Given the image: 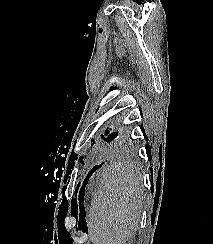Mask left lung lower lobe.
I'll list each match as a JSON object with an SVG mask.
<instances>
[{
    "label": "left lung lower lobe",
    "mask_w": 213,
    "mask_h": 244,
    "mask_svg": "<svg viewBox=\"0 0 213 244\" xmlns=\"http://www.w3.org/2000/svg\"><path fill=\"white\" fill-rule=\"evenodd\" d=\"M102 165H103V163L100 164V165H96V166H94V167L90 170V172H89L88 175L86 176L85 180L83 181L82 190H83V189L85 188V186L87 185L88 180H89L90 176L92 175V173H94V172H95L98 168H100ZM83 231H85V230H83Z\"/></svg>",
    "instance_id": "obj_1"
}]
</instances>
